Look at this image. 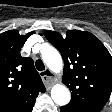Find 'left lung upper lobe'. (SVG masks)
<instances>
[{
    "label": "left lung upper lobe",
    "instance_id": "obj_1",
    "mask_svg": "<svg viewBox=\"0 0 112 112\" xmlns=\"http://www.w3.org/2000/svg\"><path fill=\"white\" fill-rule=\"evenodd\" d=\"M45 36L64 61L63 83L72 92L65 107L99 112L112 91V57L102 42L89 32L69 30L63 38L55 31Z\"/></svg>",
    "mask_w": 112,
    "mask_h": 112
}]
</instances>
